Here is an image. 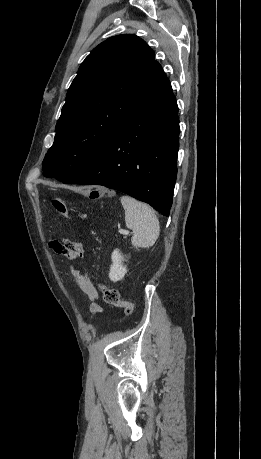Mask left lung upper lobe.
<instances>
[{
  "label": "left lung upper lobe",
  "mask_w": 261,
  "mask_h": 459,
  "mask_svg": "<svg viewBox=\"0 0 261 459\" xmlns=\"http://www.w3.org/2000/svg\"><path fill=\"white\" fill-rule=\"evenodd\" d=\"M138 36L99 44L81 64L56 125L43 175L64 181L90 164L148 96L167 78Z\"/></svg>",
  "instance_id": "5c2ea615"
}]
</instances>
